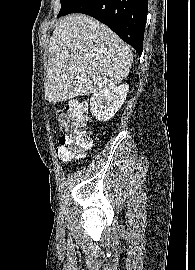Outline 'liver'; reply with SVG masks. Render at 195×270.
Instances as JSON below:
<instances>
[{
    "instance_id": "obj_1",
    "label": "liver",
    "mask_w": 195,
    "mask_h": 270,
    "mask_svg": "<svg viewBox=\"0 0 195 270\" xmlns=\"http://www.w3.org/2000/svg\"><path fill=\"white\" fill-rule=\"evenodd\" d=\"M133 53L111 29L84 14L59 20L49 44L45 98L61 102L117 86Z\"/></svg>"
}]
</instances>
